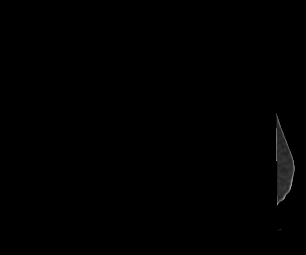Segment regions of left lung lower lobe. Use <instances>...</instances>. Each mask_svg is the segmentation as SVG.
<instances>
[{"instance_id":"1","label":"left lung lower lobe","mask_w":306,"mask_h":255,"mask_svg":"<svg viewBox=\"0 0 306 255\" xmlns=\"http://www.w3.org/2000/svg\"><path fill=\"white\" fill-rule=\"evenodd\" d=\"M222 181L207 170H183L180 180L165 189L163 198L175 213H199L212 205L221 191Z\"/></svg>"}]
</instances>
